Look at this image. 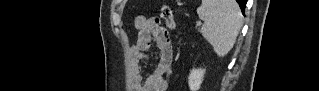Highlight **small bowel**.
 Wrapping results in <instances>:
<instances>
[{
  "label": "small bowel",
  "instance_id": "1",
  "mask_svg": "<svg viewBox=\"0 0 319 91\" xmlns=\"http://www.w3.org/2000/svg\"><path fill=\"white\" fill-rule=\"evenodd\" d=\"M138 38L131 50L134 58L132 90L166 91L169 76L172 73L173 47L169 32L161 26L156 18L138 17L135 21ZM158 49V62L153 71L146 77L140 74L141 61L147 58L152 45Z\"/></svg>",
  "mask_w": 319,
  "mask_h": 91
}]
</instances>
